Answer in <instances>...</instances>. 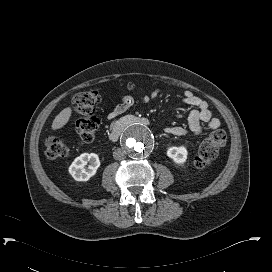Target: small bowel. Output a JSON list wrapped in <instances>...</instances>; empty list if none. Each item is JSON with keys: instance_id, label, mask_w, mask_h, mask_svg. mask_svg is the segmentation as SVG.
<instances>
[{"instance_id": "c3829d8e", "label": "small bowel", "mask_w": 272, "mask_h": 272, "mask_svg": "<svg viewBox=\"0 0 272 272\" xmlns=\"http://www.w3.org/2000/svg\"><path fill=\"white\" fill-rule=\"evenodd\" d=\"M159 93L160 90L156 89L150 94H143L141 96V100L144 103H148L154 100ZM183 103L195 107L189 111L187 116L188 129L182 126H169L166 128L167 133L175 136H182L188 133V131H191L194 135H200L202 132V124H204L208 129H217L221 126L220 119L213 115L212 111L209 109L208 103L199 96H196L192 91H185ZM133 104V97L125 96L109 113L108 119L111 120L116 118L132 107Z\"/></svg>"}]
</instances>
